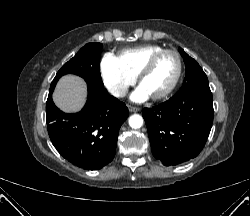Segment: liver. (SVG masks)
I'll list each match as a JSON object with an SVG mask.
<instances>
[{"label": "liver", "mask_w": 250, "mask_h": 216, "mask_svg": "<svg viewBox=\"0 0 250 216\" xmlns=\"http://www.w3.org/2000/svg\"><path fill=\"white\" fill-rule=\"evenodd\" d=\"M86 92V84L81 78L66 75L60 79L53 98L60 109L74 112L85 102Z\"/></svg>", "instance_id": "obj_1"}]
</instances>
